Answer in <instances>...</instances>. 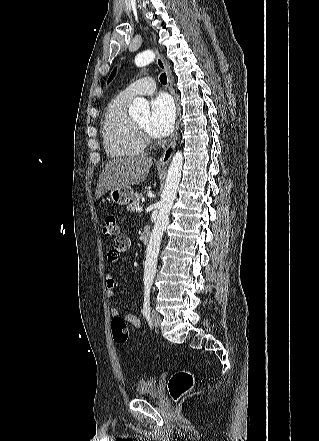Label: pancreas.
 I'll use <instances>...</instances> for the list:
<instances>
[{"instance_id":"1","label":"pancreas","mask_w":319,"mask_h":441,"mask_svg":"<svg viewBox=\"0 0 319 441\" xmlns=\"http://www.w3.org/2000/svg\"><path fill=\"white\" fill-rule=\"evenodd\" d=\"M141 198H142V194H141L140 192H136L135 195H134V197H133V199H132V202L128 204V206H127V210H128L129 212H135V211H136V208H137V207L140 205V203H141Z\"/></svg>"}]
</instances>
